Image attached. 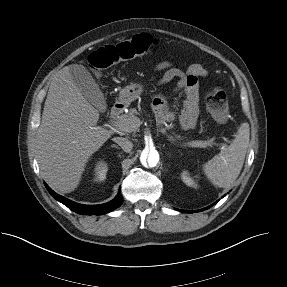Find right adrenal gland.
Returning <instances> with one entry per match:
<instances>
[{
	"label": "right adrenal gland",
	"instance_id": "1",
	"mask_svg": "<svg viewBox=\"0 0 287 287\" xmlns=\"http://www.w3.org/2000/svg\"><path fill=\"white\" fill-rule=\"evenodd\" d=\"M111 147H114V148H119L117 145H115V144H113V145H111Z\"/></svg>",
	"mask_w": 287,
	"mask_h": 287
}]
</instances>
